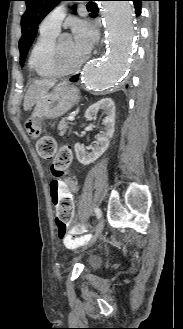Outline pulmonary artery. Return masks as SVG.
Wrapping results in <instances>:
<instances>
[{
  "mask_svg": "<svg viewBox=\"0 0 183 329\" xmlns=\"http://www.w3.org/2000/svg\"><path fill=\"white\" fill-rule=\"evenodd\" d=\"M67 9L63 4L55 7L51 12H49L43 19L40 30L43 32L59 33L60 26L65 18Z\"/></svg>",
  "mask_w": 183,
  "mask_h": 329,
  "instance_id": "1",
  "label": "pulmonary artery"
}]
</instances>
